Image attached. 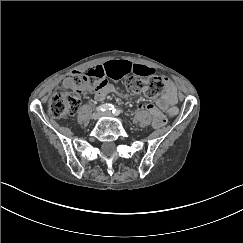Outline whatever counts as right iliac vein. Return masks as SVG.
I'll return each instance as SVG.
<instances>
[{"label": "right iliac vein", "instance_id": "1", "mask_svg": "<svg viewBox=\"0 0 243 243\" xmlns=\"http://www.w3.org/2000/svg\"><path fill=\"white\" fill-rule=\"evenodd\" d=\"M101 116H102V113H101V112H96V113L93 115V119H94V120H98Z\"/></svg>", "mask_w": 243, "mask_h": 243}]
</instances>
